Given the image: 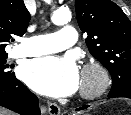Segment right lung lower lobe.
I'll return each instance as SVG.
<instances>
[{"label": "right lung lower lobe", "mask_w": 131, "mask_h": 115, "mask_svg": "<svg viewBox=\"0 0 131 115\" xmlns=\"http://www.w3.org/2000/svg\"><path fill=\"white\" fill-rule=\"evenodd\" d=\"M38 98L15 75L0 80V106L22 115H41Z\"/></svg>", "instance_id": "1"}]
</instances>
